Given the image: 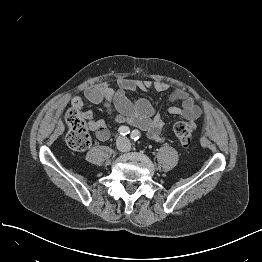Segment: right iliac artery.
<instances>
[{
	"label": "right iliac artery",
	"instance_id": "obj_1",
	"mask_svg": "<svg viewBox=\"0 0 262 262\" xmlns=\"http://www.w3.org/2000/svg\"><path fill=\"white\" fill-rule=\"evenodd\" d=\"M118 132H119L121 135L125 136V135H127V134L130 133V129H129V127H127V126H121V127L118 129Z\"/></svg>",
	"mask_w": 262,
	"mask_h": 262
}]
</instances>
